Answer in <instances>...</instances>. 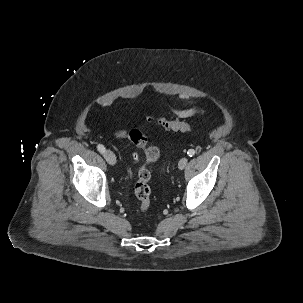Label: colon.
<instances>
[{
  "label": "colon",
  "instance_id": "colon-1",
  "mask_svg": "<svg viewBox=\"0 0 303 303\" xmlns=\"http://www.w3.org/2000/svg\"><path fill=\"white\" fill-rule=\"evenodd\" d=\"M148 120L157 122L166 130L180 132H189L192 130L190 124L179 120L152 116H149ZM115 137L118 139H129L136 147L144 150L146 165L138 172V178L134 184V194L139 201V211L145 213L148 211L151 204V190L149 187L151 173L148 166L159 159L160 150L156 146H149L146 136L136 129L130 132L118 130L115 132Z\"/></svg>",
  "mask_w": 303,
  "mask_h": 303
}]
</instances>
